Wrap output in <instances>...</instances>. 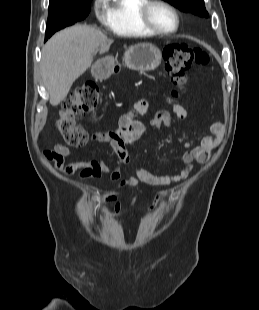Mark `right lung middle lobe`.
<instances>
[{"label":"right lung middle lobe","mask_w":259,"mask_h":310,"mask_svg":"<svg viewBox=\"0 0 259 310\" xmlns=\"http://www.w3.org/2000/svg\"><path fill=\"white\" fill-rule=\"evenodd\" d=\"M90 2L91 0L84 3L49 7L45 39L50 38L58 30L83 20L90 12Z\"/></svg>","instance_id":"dd1d6c3e"}]
</instances>
